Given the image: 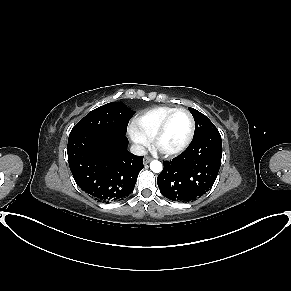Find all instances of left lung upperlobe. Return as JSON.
I'll return each mask as SVG.
<instances>
[{"instance_id":"obj_1","label":"left lung upper lobe","mask_w":291,"mask_h":291,"mask_svg":"<svg viewBox=\"0 0 291 291\" xmlns=\"http://www.w3.org/2000/svg\"><path fill=\"white\" fill-rule=\"evenodd\" d=\"M189 111L195 120V132L193 139H197L213 132H218L215 125L204 114L191 107H189Z\"/></svg>"}]
</instances>
